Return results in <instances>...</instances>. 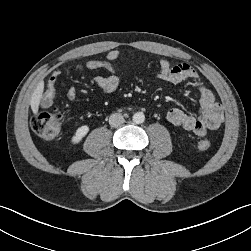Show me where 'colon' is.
<instances>
[{
	"mask_svg": "<svg viewBox=\"0 0 251 251\" xmlns=\"http://www.w3.org/2000/svg\"><path fill=\"white\" fill-rule=\"evenodd\" d=\"M32 129L43 139L57 137L62 128V116L53 108L50 111H41L35 114L31 120ZM211 146L208 140H201L197 143L199 150H207Z\"/></svg>",
	"mask_w": 251,
	"mask_h": 251,
	"instance_id": "colon-1",
	"label": "colon"
}]
</instances>
